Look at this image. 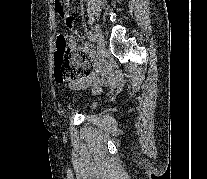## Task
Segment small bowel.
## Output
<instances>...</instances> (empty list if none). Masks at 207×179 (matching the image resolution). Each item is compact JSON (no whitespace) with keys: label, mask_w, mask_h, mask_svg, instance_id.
<instances>
[{"label":"small bowel","mask_w":207,"mask_h":179,"mask_svg":"<svg viewBox=\"0 0 207 179\" xmlns=\"http://www.w3.org/2000/svg\"><path fill=\"white\" fill-rule=\"evenodd\" d=\"M71 24H72V21L69 25ZM71 44L73 48L76 47V43L74 39H71ZM85 51L91 53L88 48H85ZM92 65H93V69H92L93 71L102 73V77L98 80L101 86L103 87L118 86V84L120 83V78L112 69L106 66V64L104 63V60L96 59L92 61ZM95 79H96L95 74L91 73V75L87 78V80H85L82 84L76 85V87L85 86L86 84L92 82Z\"/></svg>","instance_id":"c3829d8e"}]
</instances>
